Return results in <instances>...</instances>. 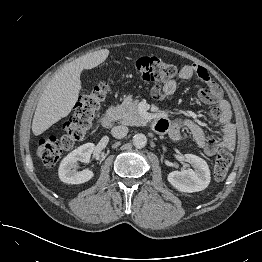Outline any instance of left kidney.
<instances>
[{
    "instance_id": "left-kidney-1",
    "label": "left kidney",
    "mask_w": 262,
    "mask_h": 262,
    "mask_svg": "<svg viewBox=\"0 0 262 262\" xmlns=\"http://www.w3.org/2000/svg\"><path fill=\"white\" fill-rule=\"evenodd\" d=\"M184 158L191 163L194 169L169 173V183L181 192L192 193L206 189L211 178L206 161L194 154H185Z\"/></svg>"
}]
</instances>
